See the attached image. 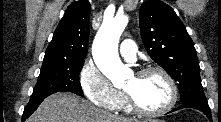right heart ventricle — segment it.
<instances>
[{"label": "right heart ventricle", "instance_id": "right-heart-ventricle-1", "mask_svg": "<svg viewBox=\"0 0 221 122\" xmlns=\"http://www.w3.org/2000/svg\"><path fill=\"white\" fill-rule=\"evenodd\" d=\"M114 110L125 112V113H129V112L132 111V109L130 108V106H129V104H128L124 94L121 93V96H120V98H119V100H118Z\"/></svg>", "mask_w": 221, "mask_h": 122}]
</instances>
